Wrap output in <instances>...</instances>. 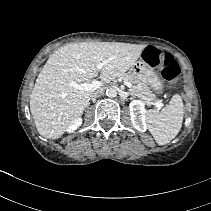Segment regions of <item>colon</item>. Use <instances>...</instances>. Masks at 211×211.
I'll return each mask as SVG.
<instances>
[{"label":"colon","instance_id":"colon-1","mask_svg":"<svg viewBox=\"0 0 211 211\" xmlns=\"http://www.w3.org/2000/svg\"><path fill=\"white\" fill-rule=\"evenodd\" d=\"M144 58L149 65L159 69L166 80L172 83L177 80L180 68L170 53L149 47L144 52Z\"/></svg>","mask_w":211,"mask_h":211}]
</instances>
